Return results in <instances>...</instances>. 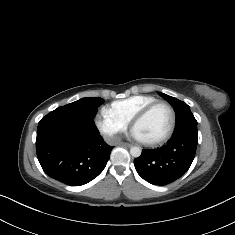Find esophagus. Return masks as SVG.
Returning a JSON list of instances; mask_svg holds the SVG:
<instances>
[{"mask_svg":"<svg viewBox=\"0 0 235 235\" xmlns=\"http://www.w3.org/2000/svg\"><path fill=\"white\" fill-rule=\"evenodd\" d=\"M119 146L130 147L131 144L127 143V142H121V143H119Z\"/></svg>","mask_w":235,"mask_h":235,"instance_id":"esophagus-1","label":"esophagus"}]
</instances>
